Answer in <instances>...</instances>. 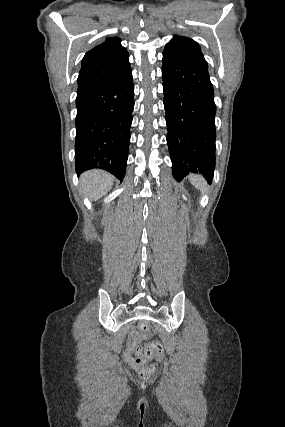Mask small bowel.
Instances as JSON below:
<instances>
[{
	"instance_id": "obj_1",
	"label": "small bowel",
	"mask_w": 285,
	"mask_h": 427,
	"mask_svg": "<svg viewBox=\"0 0 285 427\" xmlns=\"http://www.w3.org/2000/svg\"><path fill=\"white\" fill-rule=\"evenodd\" d=\"M134 345H135V341L131 340L127 346L126 352L124 353L125 362L131 366H134V360H133V356L131 354V351L133 350Z\"/></svg>"
}]
</instances>
